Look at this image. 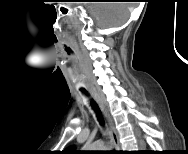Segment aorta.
Segmentation results:
<instances>
[{
	"label": "aorta",
	"mask_w": 188,
	"mask_h": 154,
	"mask_svg": "<svg viewBox=\"0 0 188 154\" xmlns=\"http://www.w3.org/2000/svg\"><path fill=\"white\" fill-rule=\"evenodd\" d=\"M85 149H88V150H106V149H108V145L104 141H96L92 144L86 145Z\"/></svg>",
	"instance_id": "1"
}]
</instances>
